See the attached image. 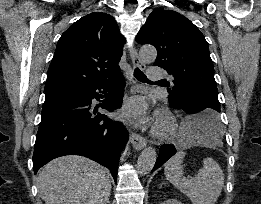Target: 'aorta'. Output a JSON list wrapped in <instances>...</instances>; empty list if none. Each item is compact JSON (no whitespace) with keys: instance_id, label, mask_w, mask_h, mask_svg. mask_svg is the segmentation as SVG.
Instances as JSON below:
<instances>
[{"instance_id":"762f6f07","label":"aorta","mask_w":261,"mask_h":204,"mask_svg":"<svg viewBox=\"0 0 261 204\" xmlns=\"http://www.w3.org/2000/svg\"><path fill=\"white\" fill-rule=\"evenodd\" d=\"M140 59L143 63H152L155 61L157 57V51L153 46H143L139 52ZM157 159L156 150L153 147L145 148L142 153L140 154L138 161H137V170L141 175L148 174Z\"/></svg>"}]
</instances>
